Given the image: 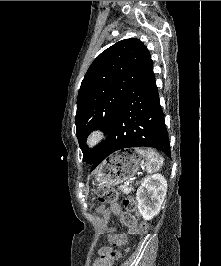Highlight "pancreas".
Listing matches in <instances>:
<instances>
[{
    "instance_id": "obj_1",
    "label": "pancreas",
    "mask_w": 221,
    "mask_h": 266,
    "mask_svg": "<svg viewBox=\"0 0 221 266\" xmlns=\"http://www.w3.org/2000/svg\"><path fill=\"white\" fill-rule=\"evenodd\" d=\"M118 190H120L124 194H127L132 190V187H129L127 185H120V186H118Z\"/></svg>"
}]
</instances>
